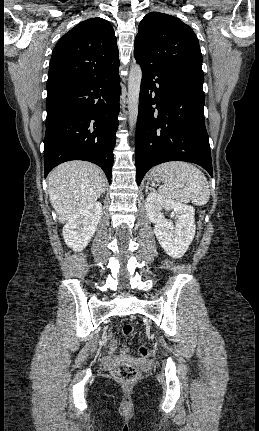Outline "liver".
Here are the masks:
<instances>
[{"label":"liver","instance_id":"6515ba94","mask_svg":"<svg viewBox=\"0 0 259 431\" xmlns=\"http://www.w3.org/2000/svg\"><path fill=\"white\" fill-rule=\"evenodd\" d=\"M48 189L58 220L65 223L101 196L105 189V175L90 162L70 161L51 171Z\"/></svg>","mask_w":259,"mask_h":431}]
</instances>
